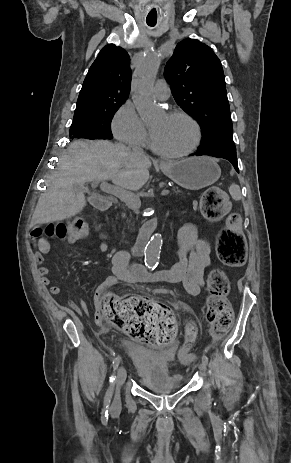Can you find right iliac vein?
<instances>
[{"instance_id": "right-iliac-vein-1", "label": "right iliac vein", "mask_w": 291, "mask_h": 463, "mask_svg": "<svg viewBox=\"0 0 291 463\" xmlns=\"http://www.w3.org/2000/svg\"><path fill=\"white\" fill-rule=\"evenodd\" d=\"M126 376H127V372H126L125 367L120 366L119 369H118V373H117L118 385H117V388H116V393H115V397H114L113 404H112V409L113 410L119 409V407L121 405L120 388H121L122 384L124 383V381L126 379Z\"/></svg>"}]
</instances>
